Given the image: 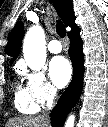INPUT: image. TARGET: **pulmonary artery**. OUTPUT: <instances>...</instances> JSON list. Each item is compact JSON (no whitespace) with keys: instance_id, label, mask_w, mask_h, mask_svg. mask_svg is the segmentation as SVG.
Segmentation results:
<instances>
[{"instance_id":"pulmonary-artery-1","label":"pulmonary artery","mask_w":108,"mask_h":127,"mask_svg":"<svg viewBox=\"0 0 108 127\" xmlns=\"http://www.w3.org/2000/svg\"><path fill=\"white\" fill-rule=\"evenodd\" d=\"M48 50L53 54L60 53L62 51V45L58 40H52L48 44Z\"/></svg>"}]
</instances>
